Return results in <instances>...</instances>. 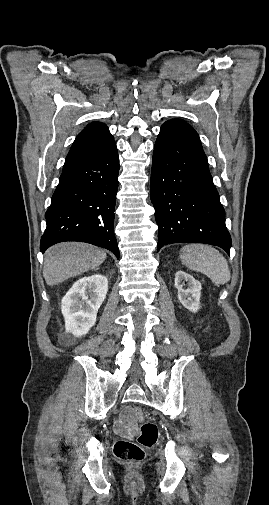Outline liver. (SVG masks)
<instances>
[{"mask_svg": "<svg viewBox=\"0 0 269 505\" xmlns=\"http://www.w3.org/2000/svg\"><path fill=\"white\" fill-rule=\"evenodd\" d=\"M106 252L87 243L63 242L45 253L43 276L47 285L53 286L68 278L100 266Z\"/></svg>", "mask_w": 269, "mask_h": 505, "instance_id": "6515ba94", "label": "liver"}]
</instances>
